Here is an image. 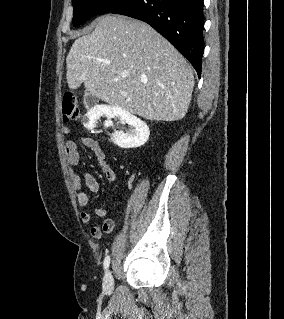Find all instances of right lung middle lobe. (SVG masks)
Wrapping results in <instances>:
<instances>
[{"instance_id": "right-lung-middle-lobe-1", "label": "right lung middle lobe", "mask_w": 284, "mask_h": 319, "mask_svg": "<svg viewBox=\"0 0 284 319\" xmlns=\"http://www.w3.org/2000/svg\"><path fill=\"white\" fill-rule=\"evenodd\" d=\"M129 0H72L74 6L73 25L83 24L95 15L111 12Z\"/></svg>"}]
</instances>
